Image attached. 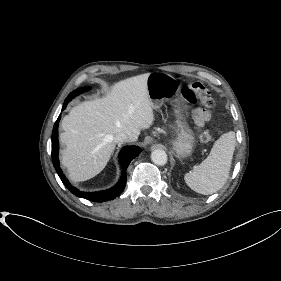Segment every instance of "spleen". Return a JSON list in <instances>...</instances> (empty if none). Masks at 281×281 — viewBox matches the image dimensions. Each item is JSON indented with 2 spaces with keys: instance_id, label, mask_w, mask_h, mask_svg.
I'll use <instances>...</instances> for the list:
<instances>
[{
  "instance_id": "1",
  "label": "spleen",
  "mask_w": 281,
  "mask_h": 281,
  "mask_svg": "<svg viewBox=\"0 0 281 281\" xmlns=\"http://www.w3.org/2000/svg\"><path fill=\"white\" fill-rule=\"evenodd\" d=\"M235 146V133L223 134L215 141L209 156L185 174L186 184L203 195L220 190L228 179Z\"/></svg>"
}]
</instances>
